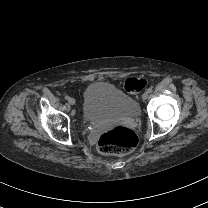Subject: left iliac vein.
I'll list each match as a JSON object with an SVG mask.
<instances>
[{
    "label": "left iliac vein",
    "instance_id": "1",
    "mask_svg": "<svg viewBox=\"0 0 208 208\" xmlns=\"http://www.w3.org/2000/svg\"><path fill=\"white\" fill-rule=\"evenodd\" d=\"M148 97H149V93L148 92H144L143 95H142V99L146 100V99H148Z\"/></svg>",
    "mask_w": 208,
    "mask_h": 208
}]
</instances>
